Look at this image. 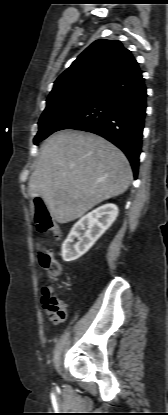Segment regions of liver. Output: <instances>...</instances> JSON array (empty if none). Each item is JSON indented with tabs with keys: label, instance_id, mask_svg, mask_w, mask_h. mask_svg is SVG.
Instances as JSON below:
<instances>
[{
	"label": "liver",
	"instance_id": "obj_1",
	"mask_svg": "<svg viewBox=\"0 0 168 415\" xmlns=\"http://www.w3.org/2000/svg\"><path fill=\"white\" fill-rule=\"evenodd\" d=\"M132 178L128 159L112 143L93 133L66 130L42 144L29 193L41 197L52 219L64 224L123 194Z\"/></svg>",
	"mask_w": 168,
	"mask_h": 415
}]
</instances>
